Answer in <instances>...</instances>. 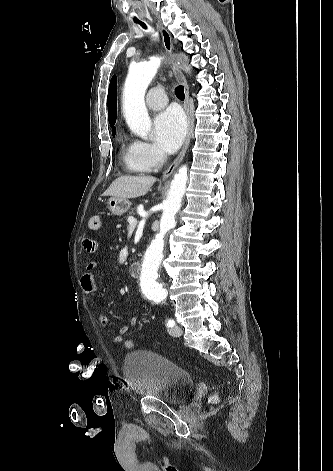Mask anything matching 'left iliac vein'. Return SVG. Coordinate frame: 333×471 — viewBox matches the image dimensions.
<instances>
[{
  "label": "left iliac vein",
  "instance_id": "4c4485c4",
  "mask_svg": "<svg viewBox=\"0 0 333 471\" xmlns=\"http://www.w3.org/2000/svg\"><path fill=\"white\" fill-rule=\"evenodd\" d=\"M183 333V330L180 326L175 325L172 328L169 329V334L174 336V337H179Z\"/></svg>",
  "mask_w": 333,
  "mask_h": 471
}]
</instances>
